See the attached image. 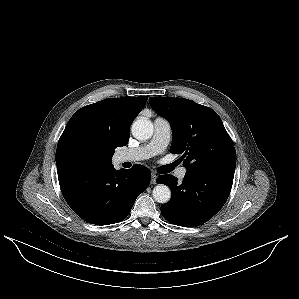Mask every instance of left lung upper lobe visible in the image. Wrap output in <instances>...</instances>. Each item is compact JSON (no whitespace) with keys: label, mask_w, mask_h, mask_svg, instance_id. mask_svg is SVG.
<instances>
[{"label":"left lung upper lobe","mask_w":299,"mask_h":299,"mask_svg":"<svg viewBox=\"0 0 299 299\" xmlns=\"http://www.w3.org/2000/svg\"><path fill=\"white\" fill-rule=\"evenodd\" d=\"M149 102L170 122V152L181 155L179 160L187 171L206 167L235 170L234 144L215 111L185 98L150 97Z\"/></svg>","instance_id":"left-lung-upper-lobe-1"}]
</instances>
